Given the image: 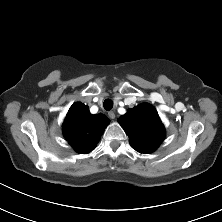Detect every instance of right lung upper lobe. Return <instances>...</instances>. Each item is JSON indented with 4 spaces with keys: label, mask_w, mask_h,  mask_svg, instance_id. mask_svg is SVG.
<instances>
[{
    "label": "right lung upper lobe",
    "mask_w": 222,
    "mask_h": 222,
    "mask_svg": "<svg viewBox=\"0 0 222 222\" xmlns=\"http://www.w3.org/2000/svg\"><path fill=\"white\" fill-rule=\"evenodd\" d=\"M109 119L103 114L92 115L88 106L73 104L63 124V133L76 152L86 154L95 149Z\"/></svg>",
    "instance_id": "right-lung-upper-lobe-1"
}]
</instances>
